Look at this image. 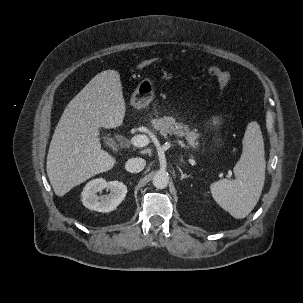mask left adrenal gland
Returning <instances> with one entry per match:
<instances>
[{
  "instance_id": "a2214340",
  "label": "left adrenal gland",
  "mask_w": 303,
  "mask_h": 303,
  "mask_svg": "<svg viewBox=\"0 0 303 303\" xmlns=\"http://www.w3.org/2000/svg\"><path fill=\"white\" fill-rule=\"evenodd\" d=\"M180 160H181V162L185 163L184 160H183V158H181ZM178 170L181 173V180L190 177V175H187L186 173H183V171H182V169L180 167L178 168Z\"/></svg>"
}]
</instances>
